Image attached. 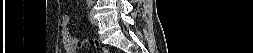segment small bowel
<instances>
[{
	"instance_id": "obj_1",
	"label": "small bowel",
	"mask_w": 253,
	"mask_h": 53,
	"mask_svg": "<svg viewBox=\"0 0 253 53\" xmlns=\"http://www.w3.org/2000/svg\"><path fill=\"white\" fill-rule=\"evenodd\" d=\"M69 17L64 15L62 18V44L66 52L73 53L80 47L79 40L71 35L68 30Z\"/></svg>"
}]
</instances>
